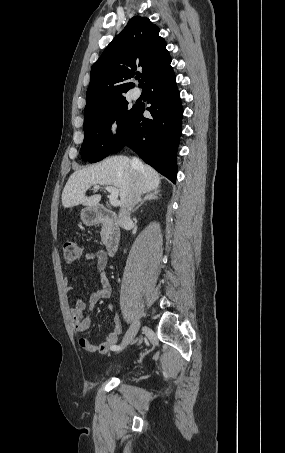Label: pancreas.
<instances>
[{
    "instance_id": "obj_1",
    "label": "pancreas",
    "mask_w": 285,
    "mask_h": 453,
    "mask_svg": "<svg viewBox=\"0 0 285 453\" xmlns=\"http://www.w3.org/2000/svg\"><path fill=\"white\" fill-rule=\"evenodd\" d=\"M107 230V226L106 225H103L102 226V231H101V237H102V240L105 238V232Z\"/></svg>"
}]
</instances>
